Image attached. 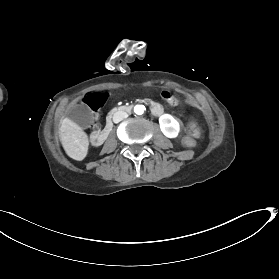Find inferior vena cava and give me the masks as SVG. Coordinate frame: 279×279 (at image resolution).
I'll list each match as a JSON object with an SVG mask.
<instances>
[{
  "instance_id": "1",
  "label": "inferior vena cava",
  "mask_w": 279,
  "mask_h": 279,
  "mask_svg": "<svg viewBox=\"0 0 279 279\" xmlns=\"http://www.w3.org/2000/svg\"><path fill=\"white\" fill-rule=\"evenodd\" d=\"M127 117H128V115H127L126 112H124V111H118V112L114 113L113 121H114L115 123H118V122H120L121 120H123V118H127Z\"/></svg>"
}]
</instances>
